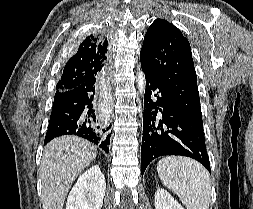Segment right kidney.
I'll return each mask as SVG.
<instances>
[{
    "instance_id": "right-kidney-1",
    "label": "right kidney",
    "mask_w": 253,
    "mask_h": 209,
    "mask_svg": "<svg viewBox=\"0 0 253 209\" xmlns=\"http://www.w3.org/2000/svg\"><path fill=\"white\" fill-rule=\"evenodd\" d=\"M106 182L98 165L85 171L69 193L66 209H101Z\"/></svg>"
}]
</instances>
